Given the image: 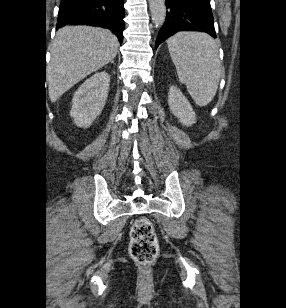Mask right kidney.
<instances>
[{
    "mask_svg": "<svg viewBox=\"0 0 286 308\" xmlns=\"http://www.w3.org/2000/svg\"><path fill=\"white\" fill-rule=\"evenodd\" d=\"M110 75L96 73L74 93L70 116L79 127H89L100 115L107 100Z\"/></svg>",
    "mask_w": 286,
    "mask_h": 308,
    "instance_id": "obj_1",
    "label": "right kidney"
}]
</instances>
